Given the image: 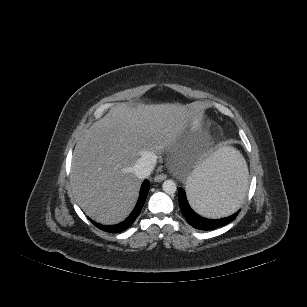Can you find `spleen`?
Listing matches in <instances>:
<instances>
[{
    "label": "spleen",
    "instance_id": "3e777b00",
    "mask_svg": "<svg viewBox=\"0 0 307 307\" xmlns=\"http://www.w3.org/2000/svg\"><path fill=\"white\" fill-rule=\"evenodd\" d=\"M247 167L241 155L226 146H216L202 158L189 179V202L199 214L218 218L230 215L248 198Z\"/></svg>",
    "mask_w": 307,
    "mask_h": 307
}]
</instances>
